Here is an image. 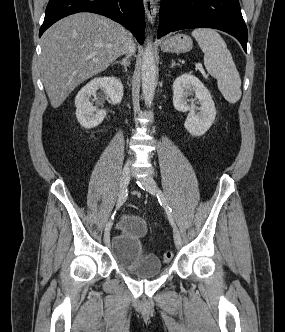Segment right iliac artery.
Listing matches in <instances>:
<instances>
[{
    "label": "right iliac artery",
    "mask_w": 285,
    "mask_h": 332,
    "mask_svg": "<svg viewBox=\"0 0 285 332\" xmlns=\"http://www.w3.org/2000/svg\"><path fill=\"white\" fill-rule=\"evenodd\" d=\"M127 196H128V189L126 188L119 194V198H118L117 205H116V210H118L123 205V203L125 202ZM116 210L113 213V215L111 216V219L106 224L105 232L109 231L110 228L112 227Z\"/></svg>",
    "instance_id": "1"
}]
</instances>
